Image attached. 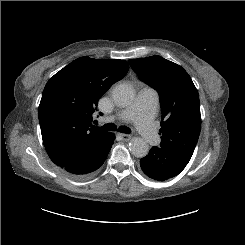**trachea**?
<instances>
[{"label": "trachea", "instance_id": "1", "mask_svg": "<svg viewBox=\"0 0 245 245\" xmlns=\"http://www.w3.org/2000/svg\"><path fill=\"white\" fill-rule=\"evenodd\" d=\"M102 129L104 130H108V131H119L121 133H125V134H130L131 133V130L127 127H124V126H120V127H116L114 124L112 123H108V124H105L103 126H101Z\"/></svg>", "mask_w": 245, "mask_h": 245}]
</instances>
